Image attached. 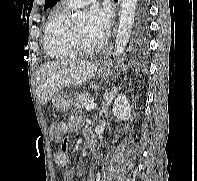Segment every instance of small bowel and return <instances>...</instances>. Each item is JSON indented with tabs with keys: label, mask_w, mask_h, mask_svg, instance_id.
Returning <instances> with one entry per match:
<instances>
[{
	"label": "small bowel",
	"mask_w": 197,
	"mask_h": 181,
	"mask_svg": "<svg viewBox=\"0 0 197 181\" xmlns=\"http://www.w3.org/2000/svg\"><path fill=\"white\" fill-rule=\"evenodd\" d=\"M82 122L79 118H72L69 121V125H61V132H65L67 129L71 130H77L80 128ZM88 130L85 129L84 134L85 136L88 134ZM54 162L55 164L60 167L63 170L64 173V181H71L72 180V175L71 172L69 171V166H70V157L65 149H60L54 154ZM88 181H95L94 176L90 175L88 178Z\"/></svg>",
	"instance_id": "obj_1"
}]
</instances>
